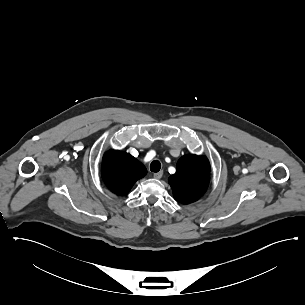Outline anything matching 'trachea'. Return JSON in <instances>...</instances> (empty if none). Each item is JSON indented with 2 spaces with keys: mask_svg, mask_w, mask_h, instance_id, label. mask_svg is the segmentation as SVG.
<instances>
[{
  "mask_svg": "<svg viewBox=\"0 0 305 305\" xmlns=\"http://www.w3.org/2000/svg\"><path fill=\"white\" fill-rule=\"evenodd\" d=\"M160 168H161V164H160V162L158 160H154V161L151 162L150 170L152 172L156 173V172L160 171Z\"/></svg>",
  "mask_w": 305,
  "mask_h": 305,
  "instance_id": "obj_1",
  "label": "trachea"
}]
</instances>
